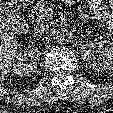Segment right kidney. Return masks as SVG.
I'll return each instance as SVG.
<instances>
[{"instance_id": "right-kidney-1", "label": "right kidney", "mask_w": 113, "mask_h": 113, "mask_svg": "<svg viewBox=\"0 0 113 113\" xmlns=\"http://www.w3.org/2000/svg\"><path fill=\"white\" fill-rule=\"evenodd\" d=\"M40 54L41 52L37 47L18 50L13 62V73L21 77L33 73L39 64Z\"/></svg>"}]
</instances>
